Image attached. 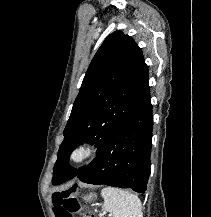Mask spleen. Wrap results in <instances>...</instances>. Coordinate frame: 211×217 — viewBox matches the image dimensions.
Wrapping results in <instances>:
<instances>
[{
  "instance_id": "3e777b00",
  "label": "spleen",
  "mask_w": 211,
  "mask_h": 217,
  "mask_svg": "<svg viewBox=\"0 0 211 217\" xmlns=\"http://www.w3.org/2000/svg\"><path fill=\"white\" fill-rule=\"evenodd\" d=\"M103 210L112 217H143L142 203L137 195L114 187L103 188Z\"/></svg>"
}]
</instances>
